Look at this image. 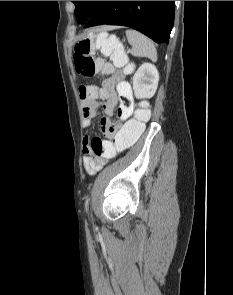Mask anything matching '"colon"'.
I'll return each mask as SVG.
<instances>
[{
	"label": "colon",
	"instance_id": "colon-1",
	"mask_svg": "<svg viewBox=\"0 0 233 295\" xmlns=\"http://www.w3.org/2000/svg\"><path fill=\"white\" fill-rule=\"evenodd\" d=\"M94 49H98L104 56L111 59V63H104L93 56ZM74 64L77 73L84 77H93L99 72L110 73L116 67H126V56L118 40L106 33L88 35L75 44ZM102 87L97 85H81L79 95L81 99L94 97L100 94ZM151 116L150 108L142 103L135 111L134 117L127 121L122 128L109 127L105 133L108 140L98 136L90 138L89 146L94 155L108 159L115 157L121 151L131 147L143 134L145 126Z\"/></svg>",
	"mask_w": 233,
	"mask_h": 295
}]
</instances>
